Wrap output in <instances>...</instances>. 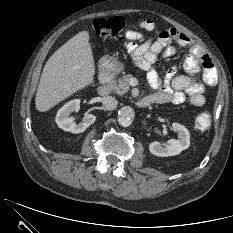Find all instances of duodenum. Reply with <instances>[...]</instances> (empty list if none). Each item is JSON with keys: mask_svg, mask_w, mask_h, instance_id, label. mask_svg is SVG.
<instances>
[{"mask_svg": "<svg viewBox=\"0 0 233 233\" xmlns=\"http://www.w3.org/2000/svg\"><path fill=\"white\" fill-rule=\"evenodd\" d=\"M114 76V67L109 61L102 63L99 72L100 84L97 87V92L101 96H105L110 91V84ZM151 104L149 97H143L136 101V105L145 108Z\"/></svg>", "mask_w": 233, "mask_h": 233, "instance_id": "duodenum-1", "label": "duodenum"}]
</instances>
